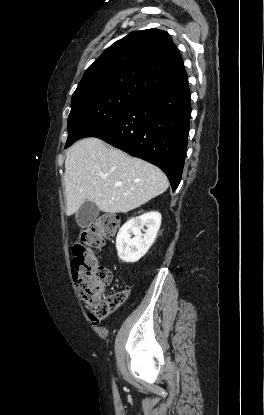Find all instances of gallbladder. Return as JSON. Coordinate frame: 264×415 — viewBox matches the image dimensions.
<instances>
[{
  "label": "gallbladder",
  "instance_id": "bac80fb5",
  "mask_svg": "<svg viewBox=\"0 0 264 415\" xmlns=\"http://www.w3.org/2000/svg\"><path fill=\"white\" fill-rule=\"evenodd\" d=\"M99 215V208L91 201H85L76 212V222L79 227L86 228Z\"/></svg>",
  "mask_w": 264,
  "mask_h": 415
}]
</instances>
